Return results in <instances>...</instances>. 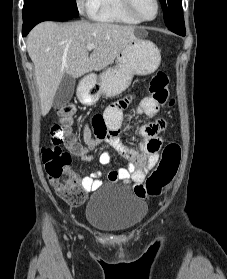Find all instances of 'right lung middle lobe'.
<instances>
[{
    "instance_id": "right-lung-middle-lobe-1",
    "label": "right lung middle lobe",
    "mask_w": 227,
    "mask_h": 279,
    "mask_svg": "<svg viewBox=\"0 0 227 279\" xmlns=\"http://www.w3.org/2000/svg\"><path fill=\"white\" fill-rule=\"evenodd\" d=\"M40 6H47L73 18L79 15L75 0H24L23 17Z\"/></svg>"
}]
</instances>
